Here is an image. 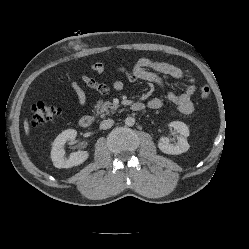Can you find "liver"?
<instances>
[{"mask_svg": "<svg viewBox=\"0 0 249 249\" xmlns=\"http://www.w3.org/2000/svg\"><path fill=\"white\" fill-rule=\"evenodd\" d=\"M24 129H25L26 135L29 136L30 128H29V123H28L27 118H26L25 121H24Z\"/></svg>", "mask_w": 249, "mask_h": 249, "instance_id": "6515ba94", "label": "liver"}]
</instances>
